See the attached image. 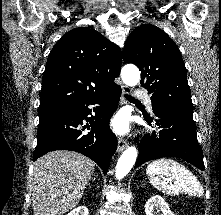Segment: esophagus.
Returning <instances> with one entry per match:
<instances>
[{"label": "esophagus", "instance_id": "1", "mask_svg": "<svg viewBox=\"0 0 221 215\" xmlns=\"http://www.w3.org/2000/svg\"><path fill=\"white\" fill-rule=\"evenodd\" d=\"M121 88H122V101H124V95L130 93V88L125 85H122ZM127 146L128 142L120 137L118 139V148H117L118 152H122Z\"/></svg>", "mask_w": 221, "mask_h": 215}]
</instances>
